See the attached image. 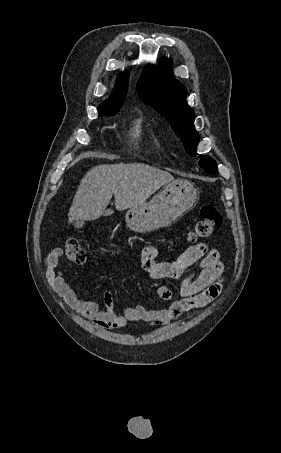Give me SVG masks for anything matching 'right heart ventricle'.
<instances>
[{"instance_id":"obj_1","label":"right heart ventricle","mask_w":281,"mask_h":453,"mask_svg":"<svg viewBox=\"0 0 281 453\" xmlns=\"http://www.w3.org/2000/svg\"><path fill=\"white\" fill-rule=\"evenodd\" d=\"M134 135L138 138H145L147 136L145 122L142 118H137L133 124Z\"/></svg>"}]
</instances>
